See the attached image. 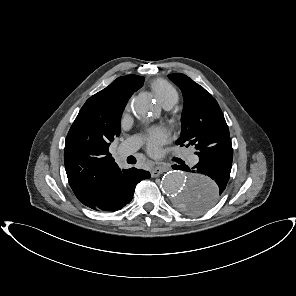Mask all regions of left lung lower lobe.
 Wrapping results in <instances>:
<instances>
[{"instance_id":"0a47b994","label":"left lung lower lobe","mask_w":296,"mask_h":296,"mask_svg":"<svg viewBox=\"0 0 296 296\" xmlns=\"http://www.w3.org/2000/svg\"><path fill=\"white\" fill-rule=\"evenodd\" d=\"M217 150L199 157V163L193 168L186 165H174L173 168L192 173L191 177L209 176L217 184L215 191H207L200 196L192 197L187 203V211L199 213L212 207L223 194L232 167L233 149L231 139L219 143Z\"/></svg>"}]
</instances>
